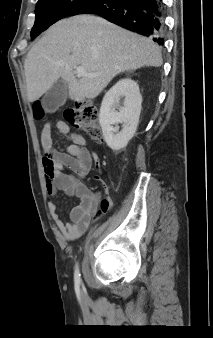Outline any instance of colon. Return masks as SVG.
Returning <instances> with one entry per match:
<instances>
[{"label":"colon","instance_id":"colon-1","mask_svg":"<svg viewBox=\"0 0 213 338\" xmlns=\"http://www.w3.org/2000/svg\"><path fill=\"white\" fill-rule=\"evenodd\" d=\"M34 117L37 121H42L45 118L44 111L40 105H37L34 112ZM66 121L76 127L82 129L90 139L99 141L102 139V129L99 123L98 110L88 101L83 100L69 106L65 113ZM49 174L53 177L56 175V170L52 163H49ZM110 208V202L104 199L97 213L98 218L104 216Z\"/></svg>","mask_w":213,"mask_h":338}]
</instances>
